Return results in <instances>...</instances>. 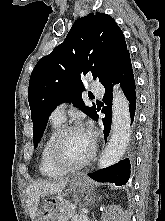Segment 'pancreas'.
<instances>
[{
	"label": "pancreas",
	"mask_w": 165,
	"mask_h": 221,
	"mask_svg": "<svg viewBox=\"0 0 165 221\" xmlns=\"http://www.w3.org/2000/svg\"><path fill=\"white\" fill-rule=\"evenodd\" d=\"M69 204L70 203L68 201H62L58 205V209L60 211V216L58 217L61 221H67L74 214V211L69 207Z\"/></svg>",
	"instance_id": "cf45deb5"
}]
</instances>
